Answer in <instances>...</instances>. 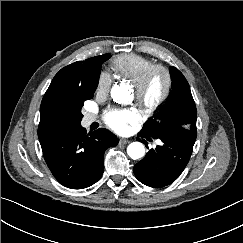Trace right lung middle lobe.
I'll return each mask as SVG.
<instances>
[{"mask_svg": "<svg viewBox=\"0 0 243 243\" xmlns=\"http://www.w3.org/2000/svg\"><path fill=\"white\" fill-rule=\"evenodd\" d=\"M110 54H105L99 65L108 60ZM95 88L90 91L76 92L67 98L57 101L52 109L53 117L59 126L79 125L82 120L81 108L85 100L91 99Z\"/></svg>", "mask_w": 243, "mask_h": 243, "instance_id": "obj_1", "label": "right lung middle lobe"}]
</instances>
